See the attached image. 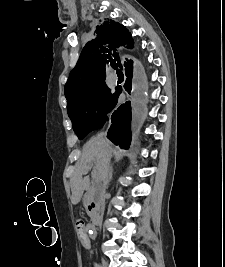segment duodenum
Segmentation results:
<instances>
[{
  "label": "duodenum",
  "mask_w": 225,
  "mask_h": 267,
  "mask_svg": "<svg viewBox=\"0 0 225 267\" xmlns=\"http://www.w3.org/2000/svg\"><path fill=\"white\" fill-rule=\"evenodd\" d=\"M89 211H90V216H91V221L93 223V225H97L100 221V214L98 212L97 206H96V202L95 201H91L89 203Z\"/></svg>",
  "instance_id": "410a0bca"
}]
</instances>
